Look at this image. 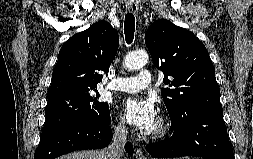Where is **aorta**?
<instances>
[{"mask_svg": "<svg viewBox=\"0 0 253 159\" xmlns=\"http://www.w3.org/2000/svg\"><path fill=\"white\" fill-rule=\"evenodd\" d=\"M149 56L146 51L139 50L126 55L124 65L128 70H137L147 64Z\"/></svg>", "mask_w": 253, "mask_h": 159, "instance_id": "obj_1", "label": "aorta"}]
</instances>
